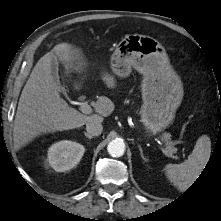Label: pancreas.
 Returning a JSON list of instances; mask_svg holds the SVG:
<instances>
[{"label":"pancreas","instance_id":"pancreas-1","mask_svg":"<svg viewBox=\"0 0 221 221\" xmlns=\"http://www.w3.org/2000/svg\"><path fill=\"white\" fill-rule=\"evenodd\" d=\"M171 135L169 133H164L162 136V140L165 142L166 144V151L170 156H173V153L177 152V148L174 147V143L171 142Z\"/></svg>","mask_w":221,"mask_h":221}]
</instances>
